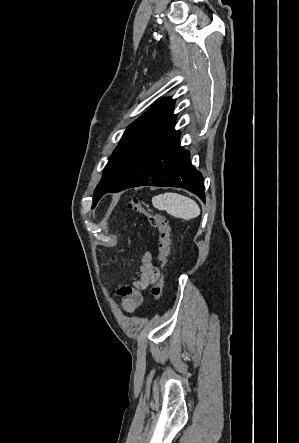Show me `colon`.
Listing matches in <instances>:
<instances>
[{"mask_svg": "<svg viewBox=\"0 0 299 443\" xmlns=\"http://www.w3.org/2000/svg\"><path fill=\"white\" fill-rule=\"evenodd\" d=\"M128 207L135 212L144 215L149 224L156 228L159 232L158 236V259L160 264V270L158 271V278L155 285L152 288V294L158 298L161 302L164 301L163 296V276L162 269L167 263V259L170 253V226L167 219L159 214L147 211L141 204L139 198L133 197L128 203Z\"/></svg>", "mask_w": 299, "mask_h": 443, "instance_id": "colon-1", "label": "colon"}]
</instances>
